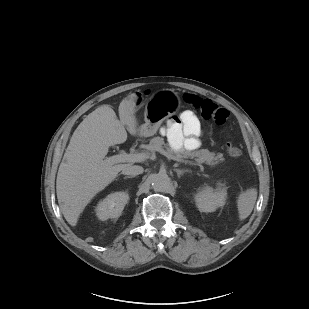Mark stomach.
Listing matches in <instances>:
<instances>
[{
	"mask_svg": "<svg viewBox=\"0 0 309 309\" xmlns=\"http://www.w3.org/2000/svg\"><path fill=\"white\" fill-rule=\"evenodd\" d=\"M181 101L178 94L172 89H162L153 93L145 106V123L137 132L140 136L154 135L163 121L177 113Z\"/></svg>",
	"mask_w": 309,
	"mask_h": 309,
	"instance_id": "obj_1",
	"label": "stomach"
}]
</instances>
